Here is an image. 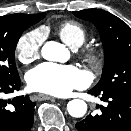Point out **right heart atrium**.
I'll use <instances>...</instances> for the list:
<instances>
[{
  "label": "right heart atrium",
  "mask_w": 131,
  "mask_h": 131,
  "mask_svg": "<svg viewBox=\"0 0 131 131\" xmlns=\"http://www.w3.org/2000/svg\"><path fill=\"white\" fill-rule=\"evenodd\" d=\"M44 37V31L37 28L23 34L18 39L16 44V55L21 63L29 64L40 56Z\"/></svg>",
  "instance_id": "d8ad5b80"
}]
</instances>
